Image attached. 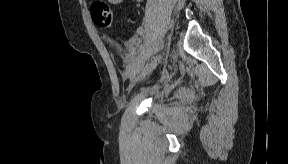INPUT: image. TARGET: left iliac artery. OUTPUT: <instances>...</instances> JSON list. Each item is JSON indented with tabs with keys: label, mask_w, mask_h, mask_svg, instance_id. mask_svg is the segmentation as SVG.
<instances>
[{
	"label": "left iliac artery",
	"mask_w": 288,
	"mask_h": 164,
	"mask_svg": "<svg viewBox=\"0 0 288 164\" xmlns=\"http://www.w3.org/2000/svg\"><path fill=\"white\" fill-rule=\"evenodd\" d=\"M141 60H142L141 56L137 57L134 61V65H138L141 62Z\"/></svg>",
	"instance_id": "44dca946"
}]
</instances>
